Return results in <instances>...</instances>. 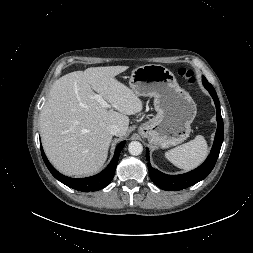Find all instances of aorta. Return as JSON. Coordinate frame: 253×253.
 Segmentation results:
<instances>
[{"instance_id": "762f6f07", "label": "aorta", "mask_w": 253, "mask_h": 253, "mask_svg": "<svg viewBox=\"0 0 253 253\" xmlns=\"http://www.w3.org/2000/svg\"><path fill=\"white\" fill-rule=\"evenodd\" d=\"M128 151L131 155L137 156L140 155L143 151V146L138 141H132L128 145Z\"/></svg>"}]
</instances>
